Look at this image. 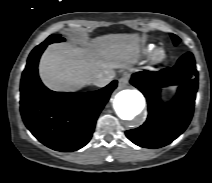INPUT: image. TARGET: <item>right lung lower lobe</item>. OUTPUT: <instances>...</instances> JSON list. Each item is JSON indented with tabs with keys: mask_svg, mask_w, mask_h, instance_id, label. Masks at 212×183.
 I'll use <instances>...</instances> for the list:
<instances>
[{
	"mask_svg": "<svg viewBox=\"0 0 212 183\" xmlns=\"http://www.w3.org/2000/svg\"><path fill=\"white\" fill-rule=\"evenodd\" d=\"M45 41L30 53L20 86V110L31 133L49 148L76 151L92 137L97 118L117 81L85 93L54 92L46 88L38 76L39 58L49 45Z\"/></svg>",
	"mask_w": 212,
	"mask_h": 183,
	"instance_id": "98d812e1",
	"label": "right lung lower lobe"
}]
</instances>
